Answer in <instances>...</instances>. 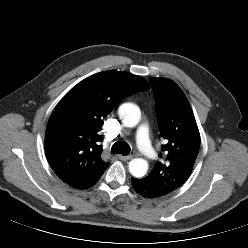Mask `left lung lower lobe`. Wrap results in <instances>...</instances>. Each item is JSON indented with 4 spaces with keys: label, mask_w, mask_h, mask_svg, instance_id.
<instances>
[{
    "label": "left lung lower lobe",
    "mask_w": 248,
    "mask_h": 248,
    "mask_svg": "<svg viewBox=\"0 0 248 248\" xmlns=\"http://www.w3.org/2000/svg\"><path fill=\"white\" fill-rule=\"evenodd\" d=\"M132 186L139 195L145 198L160 197V195L157 192H155L150 186H148L145 183H142L138 179L132 178Z\"/></svg>",
    "instance_id": "obj_1"
}]
</instances>
